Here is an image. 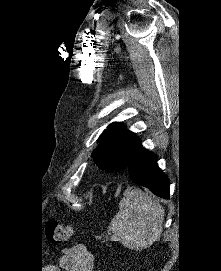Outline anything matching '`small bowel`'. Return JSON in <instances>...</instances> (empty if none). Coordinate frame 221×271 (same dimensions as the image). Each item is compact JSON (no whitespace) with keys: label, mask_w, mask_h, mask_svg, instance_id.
<instances>
[{"label":"small bowel","mask_w":221,"mask_h":271,"mask_svg":"<svg viewBox=\"0 0 221 271\" xmlns=\"http://www.w3.org/2000/svg\"><path fill=\"white\" fill-rule=\"evenodd\" d=\"M60 266L65 271H93L94 256L83 244H75L62 250Z\"/></svg>","instance_id":"obj_1"}]
</instances>
